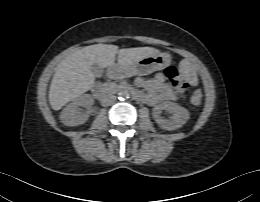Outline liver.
I'll list each match as a JSON object with an SVG mask.
<instances>
[{"label": "liver", "instance_id": "liver-1", "mask_svg": "<svg viewBox=\"0 0 260 202\" xmlns=\"http://www.w3.org/2000/svg\"><path fill=\"white\" fill-rule=\"evenodd\" d=\"M158 53L159 50L152 47L120 50L116 45L107 44L83 47L58 64L49 89V103L53 110L58 111L68 102L87 92L95 81L91 71L94 63L101 68L112 66L118 54V64L126 66Z\"/></svg>", "mask_w": 260, "mask_h": 202}]
</instances>
